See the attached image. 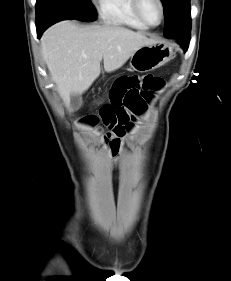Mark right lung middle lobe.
<instances>
[{
	"label": "right lung middle lobe",
	"mask_w": 231,
	"mask_h": 281,
	"mask_svg": "<svg viewBox=\"0 0 231 281\" xmlns=\"http://www.w3.org/2000/svg\"><path fill=\"white\" fill-rule=\"evenodd\" d=\"M36 21L52 12L67 16L66 19L93 21L96 19L95 9L90 0H37Z\"/></svg>",
	"instance_id": "right-lung-middle-lobe-1"
}]
</instances>
